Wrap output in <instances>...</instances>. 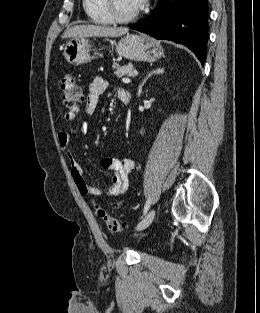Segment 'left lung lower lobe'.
Masks as SVG:
<instances>
[{
  "mask_svg": "<svg viewBox=\"0 0 260 313\" xmlns=\"http://www.w3.org/2000/svg\"><path fill=\"white\" fill-rule=\"evenodd\" d=\"M207 0H160L142 22L129 26L156 39L187 46L203 64L208 40Z\"/></svg>",
  "mask_w": 260,
  "mask_h": 313,
  "instance_id": "1",
  "label": "left lung lower lobe"
}]
</instances>
